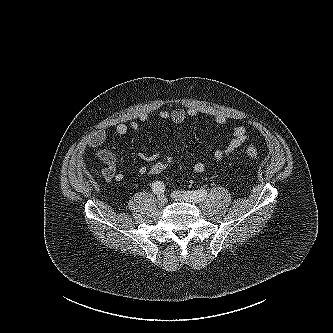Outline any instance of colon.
I'll list each match as a JSON object with an SVG mask.
<instances>
[{"mask_svg": "<svg viewBox=\"0 0 333 333\" xmlns=\"http://www.w3.org/2000/svg\"><path fill=\"white\" fill-rule=\"evenodd\" d=\"M245 151L246 154L252 159H256L258 157V151L253 145L247 146ZM172 162L173 158L170 156L158 158L150 166H148L147 174L150 176L161 175L171 166Z\"/></svg>", "mask_w": 333, "mask_h": 333, "instance_id": "obj_1", "label": "colon"}]
</instances>
